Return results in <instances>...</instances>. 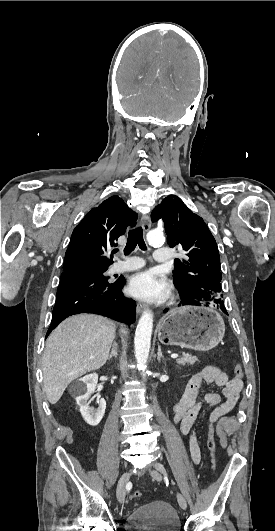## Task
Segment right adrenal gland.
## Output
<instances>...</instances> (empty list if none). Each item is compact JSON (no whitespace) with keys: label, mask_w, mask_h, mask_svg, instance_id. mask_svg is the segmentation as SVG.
I'll return each instance as SVG.
<instances>
[{"label":"right adrenal gland","mask_w":275,"mask_h":531,"mask_svg":"<svg viewBox=\"0 0 275 531\" xmlns=\"http://www.w3.org/2000/svg\"><path fill=\"white\" fill-rule=\"evenodd\" d=\"M113 357H115V359L116 357H118V349L116 343H113L112 345V351L108 357V361H110V359H113Z\"/></svg>","instance_id":"right-adrenal-gland-1"}]
</instances>
